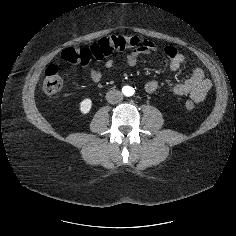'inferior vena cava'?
I'll return each mask as SVG.
<instances>
[{
	"instance_id": "inferior-vena-cava-1",
	"label": "inferior vena cava",
	"mask_w": 236,
	"mask_h": 236,
	"mask_svg": "<svg viewBox=\"0 0 236 236\" xmlns=\"http://www.w3.org/2000/svg\"><path fill=\"white\" fill-rule=\"evenodd\" d=\"M123 99V94L118 90H110L106 94V100L109 103L115 104L121 102Z\"/></svg>"
}]
</instances>
